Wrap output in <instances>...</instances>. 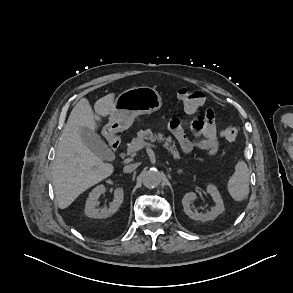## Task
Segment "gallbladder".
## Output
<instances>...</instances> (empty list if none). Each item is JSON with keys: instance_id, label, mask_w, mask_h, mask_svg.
Instances as JSON below:
<instances>
[{"instance_id": "obj_1", "label": "gallbladder", "mask_w": 293, "mask_h": 293, "mask_svg": "<svg viewBox=\"0 0 293 293\" xmlns=\"http://www.w3.org/2000/svg\"><path fill=\"white\" fill-rule=\"evenodd\" d=\"M80 135L85 145L101 159H105L111 153L105 142L94 131L81 127Z\"/></svg>"}]
</instances>
